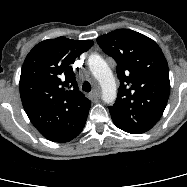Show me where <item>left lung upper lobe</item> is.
I'll return each instance as SVG.
<instances>
[{"instance_id": "obj_1", "label": "left lung upper lobe", "mask_w": 187, "mask_h": 187, "mask_svg": "<svg viewBox=\"0 0 187 187\" xmlns=\"http://www.w3.org/2000/svg\"><path fill=\"white\" fill-rule=\"evenodd\" d=\"M97 42L117 62L120 87L109 107L114 124L131 134L149 131L161 118L170 93L162 50L149 37L129 29H117Z\"/></svg>"}]
</instances>
